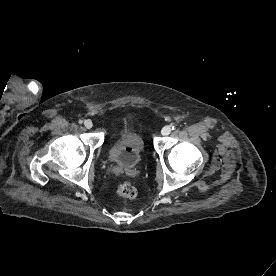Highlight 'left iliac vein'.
I'll return each mask as SVG.
<instances>
[{
  "label": "left iliac vein",
  "mask_w": 276,
  "mask_h": 276,
  "mask_svg": "<svg viewBox=\"0 0 276 276\" xmlns=\"http://www.w3.org/2000/svg\"><path fill=\"white\" fill-rule=\"evenodd\" d=\"M162 135L167 136L171 133V127L170 126H164L161 130Z\"/></svg>",
  "instance_id": "left-iliac-vein-1"
}]
</instances>
